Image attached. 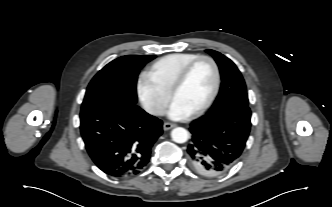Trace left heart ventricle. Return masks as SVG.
Wrapping results in <instances>:
<instances>
[{"mask_svg":"<svg viewBox=\"0 0 332 207\" xmlns=\"http://www.w3.org/2000/svg\"><path fill=\"white\" fill-rule=\"evenodd\" d=\"M213 85L214 71L211 64L208 61H200L191 69L185 83L173 99L193 112L207 100Z\"/></svg>","mask_w":332,"mask_h":207,"instance_id":"left-heart-ventricle-1","label":"left heart ventricle"}]
</instances>
